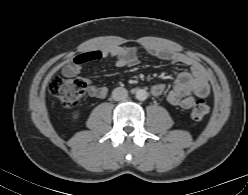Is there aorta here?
Masks as SVG:
<instances>
[{
  "instance_id": "1",
  "label": "aorta",
  "mask_w": 248,
  "mask_h": 195,
  "mask_svg": "<svg viewBox=\"0 0 248 195\" xmlns=\"http://www.w3.org/2000/svg\"><path fill=\"white\" fill-rule=\"evenodd\" d=\"M148 97L147 91L144 89H139L136 91V98L140 101L146 100Z\"/></svg>"
}]
</instances>
